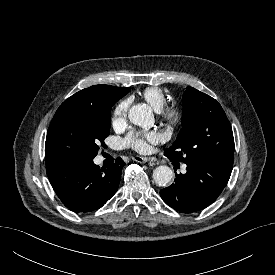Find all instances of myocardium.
Instances as JSON below:
<instances>
[{"instance_id":"1","label":"myocardium","mask_w":275,"mask_h":275,"mask_svg":"<svg viewBox=\"0 0 275 275\" xmlns=\"http://www.w3.org/2000/svg\"><path fill=\"white\" fill-rule=\"evenodd\" d=\"M159 115L161 120L171 128L180 127L186 118L185 108L179 103H170L164 106Z\"/></svg>"}]
</instances>
